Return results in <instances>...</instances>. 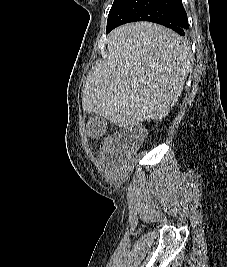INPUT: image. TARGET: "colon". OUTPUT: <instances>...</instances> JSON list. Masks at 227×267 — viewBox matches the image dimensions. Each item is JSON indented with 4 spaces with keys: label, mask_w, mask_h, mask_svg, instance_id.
<instances>
[{
    "label": "colon",
    "mask_w": 227,
    "mask_h": 267,
    "mask_svg": "<svg viewBox=\"0 0 227 267\" xmlns=\"http://www.w3.org/2000/svg\"><path fill=\"white\" fill-rule=\"evenodd\" d=\"M107 125L103 118L93 117L88 120L85 125L86 134L92 139L102 138L106 134ZM146 139V130L140 127L130 128L121 137V141L126 148L136 149Z\"/></svg>",
    "instance_id": "obj_1"
}]
</instances>
